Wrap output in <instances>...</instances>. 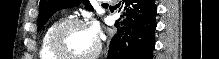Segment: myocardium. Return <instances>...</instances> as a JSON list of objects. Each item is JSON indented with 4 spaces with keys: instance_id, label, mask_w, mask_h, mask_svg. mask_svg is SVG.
<instances>
[{
    "instance_id": "1",
    "label": "myocardium",
    "mask_w": 219,
    "mask_h": 59,
    "mask_svg": "<svg viewBox=\"0 0 219 59\" xmlns=\"http://www.w3.org/2000/svg\"><path fill=\"white\" fill-rule=\"evenodd\" d=\"M72 26H85L84 21L78 18H69L61 21L51 35L50 47L52 52L60 59H94L101 51V43L96 39V46L93 51L85 55H73L66 51L63 38L65 32Z\"/></svg>"
}]
</instances>
